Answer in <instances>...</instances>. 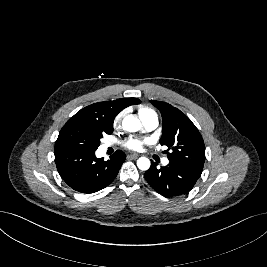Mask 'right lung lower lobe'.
I'll return each mask as SVG.
<instances>
[{
	"mask_svg": "<svg viewBox=\"0 0 267 267\" xmlns=\"http://www.w3.org/2000/svg\"><path fill=\"white\" fill-rule=\"evenodd\" d=\"M54 154L61 178L73 190L86 194L108 186L126 159L121 150H117L108 161L96 158L95 151H59Z\"/></svg>",
	"mask_w": 267,
	"mask_h": 267,
	"instance_id": "98d812e1",
	"label": "right lung lower lobe"
}]
</instances>
